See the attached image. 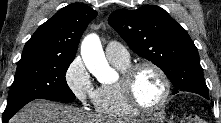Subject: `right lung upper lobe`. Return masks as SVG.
<instances>
[{
  "instance_id": "1",
  "label": "right lung upper lobe",
  "mask_w": 221,
  "mask_h": 123,
  "mask_svg": "<svg viewBox=\"0 0 221 123\" xmlns=\"http://www.w3.org/2000/svg\"><path fill=\"white\" fill-rule=\"evenodd\" d=\"M97 16L92 8L70 4L42 24L26 42L22 55L75 56L80 38Z\"/></svg>"
}]
</instances>
